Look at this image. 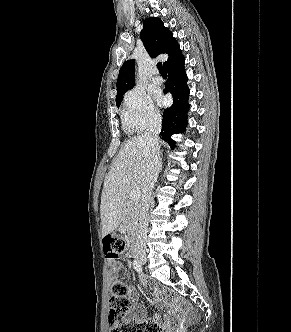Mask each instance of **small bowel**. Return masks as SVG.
I'll return each instance as SVG.
<instances>
[{
	"label": "small bowel",
	"instance_id": "small-bowel-1",
	"mask_svg": "<svg viewBox=\"0 0 291 332\" xmlns=\"http://www.w3.org/2000/svg\"><path fill=\"white\" fill-rule=\"evenodd\" d=\"M109 264H110V273H109L110 280L116 281L118 274L122 270L123 266L120 262H118L116 260H110ZM142 281L144 282V279H142ZM154 298L157 303H162L163 299H162V292L160 289L155 288ZM132 301H133V307L131 309V314H130L129 320L139 322L141 320V318L144 316L145 311L142 306H140L139 304L136 303L135 297L132 298ZM172 308H173L174 318L179 322H183L185 316H184V313L182 312V310H180V308L178 307L177 304H172ZM152 319L154 321H158L160 319V315L155 314V315H153Z\"/></svg>",
	"mask_w": 291,
	"mask_h": 332
}]
</instances>
